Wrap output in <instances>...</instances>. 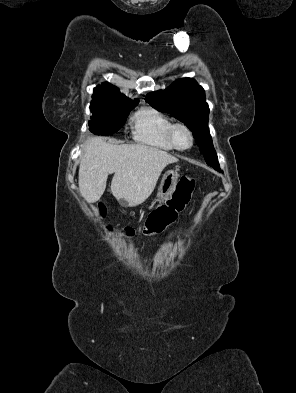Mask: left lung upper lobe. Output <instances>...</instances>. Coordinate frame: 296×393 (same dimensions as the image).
<instances>
[{"instance_id":"obj_1","label":"left lung upper lobe","mask_w":296,"mask_h":393,"mask_svg":"<svg viewBox=\"0 0 296 393\" xmlns=\"http://www.w3.org/2000/svg\"><path fill=\"white\" fill-rule=\"evenodd\" d=\"M153 108L170 113L192 132L206 163L221 172L208 129L209 107L205 91L191 78L177 80L166 90L149 93L145 99Z\"/></svg>"}]
</instances>
